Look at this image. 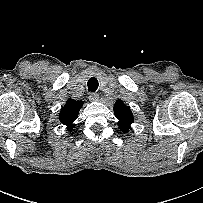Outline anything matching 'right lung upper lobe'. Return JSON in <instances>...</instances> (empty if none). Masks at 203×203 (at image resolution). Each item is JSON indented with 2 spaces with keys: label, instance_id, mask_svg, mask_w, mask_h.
<instances>
[{
  "label": "right lung upper lobe",
  "instance_id": "right-lung-upper-lobe-1",
  "mask_svg": "<svg viewBox=\"0 0 203 203\" xmlns=\"http://www.w3.org/2000/svg\"><path fill=\"white\" fill-rule=\"evenodd\" d=\"M83 105L82 101H75L73 99H68L64 107L61 108L59 114V120L62 124L67 126L69 131L73 130L75 127L74 121L78 117L79 110Z\"/></svg>",
  "mask_w": 203,
  "mask_h": 203
}]
</instances>
